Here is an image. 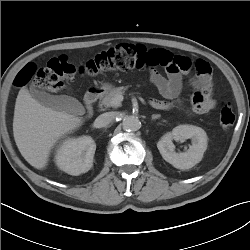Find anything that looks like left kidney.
Returning <instances> with one entry per match:
<instances>
[{"label":"left kidney","instance_id":"5707ae66","mask_svg":"<svg viewBox=\"0 0 250 250\" xmlns=\"http://www.w3.org/2000/svg\"><path fill=\"white\" fill-rule=\"evenodd\" d=\"M192 139V145L187 152L174 151L172 140ZM206 132L194 125H179L166 133L157 143V148L165 161L177 169H190L199 163L207 149Z\"/></svg>","mask_w":250,"mask_h":250}]
</instances>
